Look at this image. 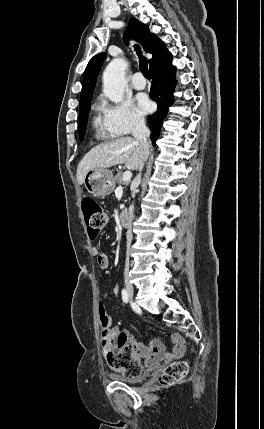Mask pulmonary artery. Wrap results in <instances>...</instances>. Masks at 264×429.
Segmentation results:
<instances>
[{
	"label": "pulmonary artery",
	"instance_id": "pulmonary-artery-1",
	"mask_svg": "<svg viewBox=\"0 0 264 429\" xmlns=\"http://www.w3.org/2000/svg\"><path fill=\"white\" fill-rule=\"evenodd\" d=\"M132 86L136 90H142L146 87V81L140 72H137L133 75Z\"/></svg>",
	"mask_w": 264,
	"mask_h": 429
}]
</instances>
